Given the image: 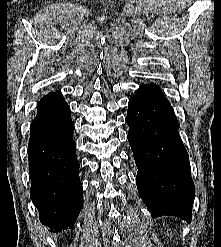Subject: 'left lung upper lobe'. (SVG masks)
Instances as JSON below:
<instances>
[{
	"mask_svg": "<svg viewBox=\"0 0 221 247\" xmlns=\"http://www.w3.org/2000/svg\"><path fill=\"white\" fill-rule=\"evenodd\" d=\"M139 89L144 91L145 93H148V94L153 95L155 97L167 100L166 97L164 96V94L162 93L160 87L157 85L146 84V85L140 86Z\"/></svg>",
	"mask_w": 221,
	"mask_h": 247,
	"instance_id": "1",
	"label": "left lung upper lobe"
}]
</instances>
